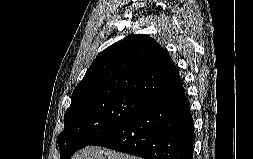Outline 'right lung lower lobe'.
Listing matches in <instances>:
<instances>
[{
    "instance_id": "98d812e1",
    "label": "right lung lower lobe",
    "mask_w": 253,
    "mask_h": 159,
    "mask_svg": "<svg viewBox=\"0 0 253 159\" xmlns=\"http://www.w3.org/2000/svg\"><path fill=\"white\" fill-rule=\"evenodd\" d=\"M193 119L184 89L153 102L92 145L145 159H193Z\"/></svg>"
}]
</instances>
